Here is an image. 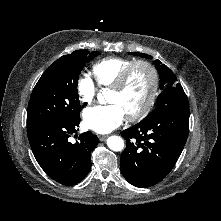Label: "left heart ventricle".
I'll return each instance as SVG.
<instances>
[{"mask_svg":"<svg viewBox=\"0 0 221 221\" xmlns=\"http://www.w3.org/2000/svg\"><path fill=\"white\" fill-rule=\"evenodd\" d=\"M150 90L151 75L149 71L144 67H137L131 73L127 85L122 91H110L108 101L119 104L128 116L143 107Z\"/></svg>","mask_w":221,"mask_h":221,"instance_id":"b2bd125f","label":"left heart ventricle"}]
</instances>
